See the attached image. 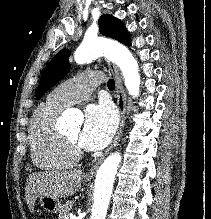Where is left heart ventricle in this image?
I'll list each match as a JSON object with an SVG mask.
<instances>
[{"label": "left heart ventricle", "instance_id": "obj_1", "mask_svg": "<svg viewBox=\"0 0 211 219\" xmlns=\"http://www.w3.org/2000/svg\"><path fill=\"white\" fill-rule=\"evenodd\" d=\"M80 134H81L80 126L73 127L66 132V135H68L71 139H73L77 143L79 142Z\"/></svg>", "mask_w": 211, "mask_h": 219}]
</instances>
